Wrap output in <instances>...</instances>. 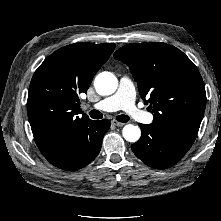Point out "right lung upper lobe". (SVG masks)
<instances>
[{"label": "right lung upper lobe", "mask_w": 221, "mask_h": 221, "mask_svg": "<svg viewBox=\"0 0 221 221\" xmlns=\"http://www.w3.org/2000/svg\"><path fill=\"white\" fill-rule=\"evenodd\" d=\"M115 44L76 43L47 57L35 71L28 94L27 113L42 154L76 139L93 120L79 108L94 75L107 61Z\"/></svg>", "instance_id": "1"}]
</instances>
